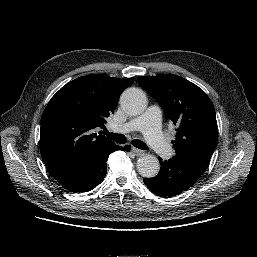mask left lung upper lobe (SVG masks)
Segmentation results:
<instances>
[{
  "instance_id": "left-lung-upper-lobe-1",
  "label": "left lung upper lobe",
  "mask_w": 257,
  "mask_h": 257,
  "mask_svg": "<svg viewBox=\"0 0 257 257\" xmlns=\"http://www.w3.org/2000/svg\"><path fill=\"white\" fill-rule=\"evenodd\" d=\"M138 83L178 126L172 141L176 155L206 169L218 142L215 110L206 93L173 74L139 76Z\"/></svg>"
}]
</instances>
